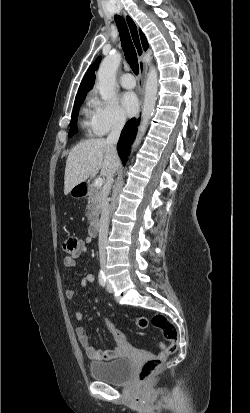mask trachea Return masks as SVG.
<instances>
[{
  "label": "trachea",
  "instance_id": "1",
  "mask_svg": "<svg viewBox=\"0 0 250 413\" xmlns=\"http://www.w3.org/2000/svg\"><path fill=\"white\" fill-rule=\"evenodd\" d=\"M115 22L120 34L121 45L124 51V55L128 64L130 65L133 72L138 75L139 65L137 60V54L133 46L128 27L125 20L119 16L115 15Z\"/></svg>",
  "mask_w": 250,
  "mask_h": 413
}]
</instances>
